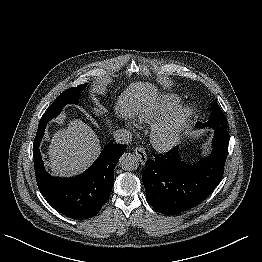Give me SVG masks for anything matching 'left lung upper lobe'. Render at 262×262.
<instances>
[{
  "label": "left lung upper lobe",
  "instance_id": "obj_1",
  "mask_svg": "<svg viewBox=\"0 0 262 262\" xmlns=\"http://www.w3.org/2000/svg\"><path fill=\"white\" fill-rule=\"evenodd\" d=\"M206 126L226 129V118L217 103H214L211 108L209 120L206 123H197L198 128Z\"/></svg>",
  "mask_w": 262,
  "mask_h": 262
}]
</instances>
